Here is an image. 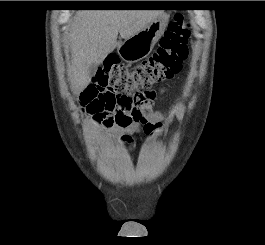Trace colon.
<instances>
[{
    "label": "colon",
    "instance_id": "obj_1",
    "mask_svg": "<svg viewBox=\"0 0 265 245\" xmlns=\"http://www.w3.org/2000/svg\"><path fill=\"white\" fill-rule=\"evenodd\" d=\"M188 37V24L176 15L156 51L141 63L128 68L116 56H109L92 79L99 92L90 106L93 119L107 126L140 121L160 93L157 86L180 73L188 57ZM146 126L151 131L160 123Z\"/></svg>",
    "mask_w": 265,
    "mask_h": 245
}]
</instances>
